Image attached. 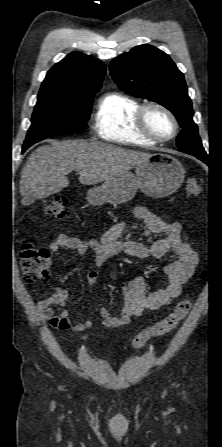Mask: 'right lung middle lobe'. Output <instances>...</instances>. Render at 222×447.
<instances>
[{"label": "right lung middle lobe", "instance_id": "right-lung-middle-lobe-1", "mask_svg": "<svg viewBox=\"0 0 222 447\" xmlns=\"http://www.w3.org/2000/svg\"><path fill=\"white\" fill-rule=\"evenodd\" d=\"M95 94L70 95L58 90H40L23 151L47 137L85 130Z\"/></svg>", "mask_w": 222, "mask_h": 447}]
</instances>
